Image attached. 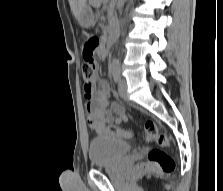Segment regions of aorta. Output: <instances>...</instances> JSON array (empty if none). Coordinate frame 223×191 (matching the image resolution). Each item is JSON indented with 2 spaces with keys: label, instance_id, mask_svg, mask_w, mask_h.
<instances>
[{
  "label": "aorta",
  "instance_id": "762f6f07",
  "mask_svg": "<svg viewBox=\"0 0 223 191\" xmlns=\"http://www.w3.org/2000/svg\"><path fill=\"white\" fill-rule=\"evenodd\" d=\"M113 63L117 64L118 63V60L117 59H114L113 60Z\"/></svg>",
  "mask_w": 223,
  "mask_h": 191
}]
</instances>
